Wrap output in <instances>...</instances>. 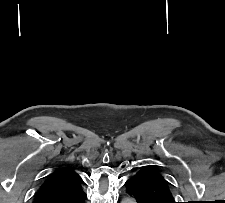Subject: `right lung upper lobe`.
<instances>
[{
    "label": "right lung upper lobe",
    "mask_w": 225,
    "mask_h": 203,
    "mask_svg": "<svg viewBox=\"0 0 225 203\" xmlns=\"http://www.w3.org/2000/svg\"><path fill=\"white\" fill-rule=\"evenodd\" d=\"M84 184V181L74 169L70 167L59 168L47 176L37 192L34 203L75 199L84 192Z\"/></svg>",
    "instance_id": "cb5924a9"
}]
</instances>
